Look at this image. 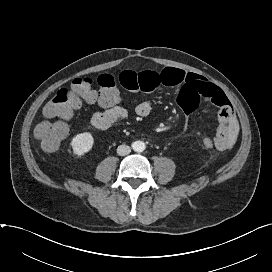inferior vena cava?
<instances>
[{
    "label": "inferior vena cava",
    "instance_id": "1",
    "mask_svg": "<svg viewBox=\"0 0 272 272\" xmlns=\"http://www.w3.org/2000/svg\"><path fill=\"white\" fill-rule=\"evenodd\" d=\"M130 152H131V148L128 145H125V144L120 145L117 148V153L120 156L128 155Z\"/></svg>",
    "mask_w": 272,
    "mask_h": 272
}]
</instances>
